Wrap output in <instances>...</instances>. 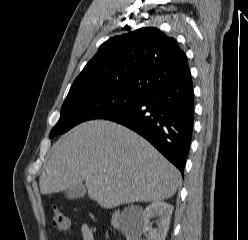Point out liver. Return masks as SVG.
Masks as SVG:
<instances>
[{"instance_id":"6515ba94","label":"liver","mask_w":248,"mask_h":240,"mask_svg":"<svg viewBox=\"0 0 248 240\" xmlns=\"http://www.w3.org/2000/svg\"><path fill=\"white\" fill-rule=\"evenodd\" d=\"M180 172L133 131L105 120L82 123L52 147L39 179L42 195L85 181L88 196L104 208L172 197Z\"/></svg>"}]
</instances>
